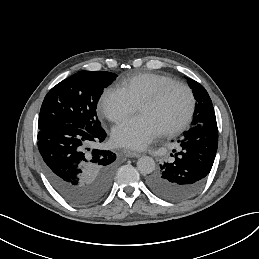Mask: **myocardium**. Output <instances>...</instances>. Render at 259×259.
Here are the masks:
<instances>
[{"label": "myocardium", "mask_w": 259, "mask_h": 259, "mask_svg": "<svg viewBox=\"0 0 259 259\" xmlns=\"http://www.w3.org/2000/svg\"><path fill=\"white\" fill-rule=\"evenodd\" d=\"M176 87L182 88L187 93L188 108H187V111H186V114L184 115V117L176 125H174L173 127H171V128L162 132V135L166 136V137H172V136L177 135L192 120V117H193L194 112H195V106H196V99H195V95H194V92H193L192 88L186 83L173 80L171 82H168V83H165L164 85H162L159 88V90L153 96L144 99L139 104V107L142 106V105H156V104L160 103L164 99V97L173 88H176Z\"/></svg>", "instance_id": "myocardium-1"}]
</instances>
